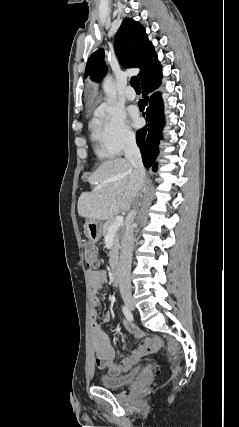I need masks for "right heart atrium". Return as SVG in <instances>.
I'll list each match as a JSON object with an SVG mask.
<instances>
[{"label": "right heart atrium", "instance_id": "d8ad5b80", "mask_svg": "<svg viewBox=\"0 0 239 427\" xmlns=\"http://www.w3.org/2000/svg\"><path fill=\"white\" fill-rule=\"evenodd\" d=\"M95 125L105 145L114 155H121L135 145V134L124 114L117 108L101 106L96 112Z\"/></svg>", "mask_w": 239, "mask_h": 427}]
</instances>
